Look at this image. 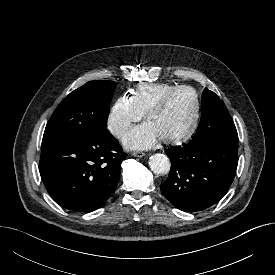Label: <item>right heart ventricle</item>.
<instances>
[{"label":"right heart ventricle","mask_w":275,"mask_h":275,"mask_svg":"<svg viewBox=\"0 0 275 275\" xmlns=\"http://www.w3.org/2000/svg\"><path fill=\"white\" fill-rule=\"evenodd\" d=\"M175 86L169 83H140L130 90V98L138 111L145 115L161 95Z\"/></svg>","instance_id":"e07e8e85"}]
</instances>
